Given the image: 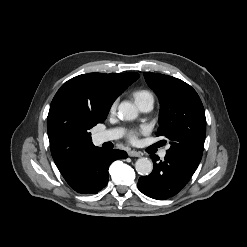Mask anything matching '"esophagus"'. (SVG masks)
Segmentation results:
<instances>
[{"instance_id":"obj_1","label":"esophagus","mask_w":247,"mask_h":247,"mask_svg":"<svg viewBox=\"0 0 247 247\" xmlns=\"http://www.w3.org/2000/svg\"><path fill=\"white\" fill-rule=\"evenodd\" d=\"M128 155L130 157H141L142 153L140 151L131 150V151L128 152Z\"/></svg>"}]
</instances>
